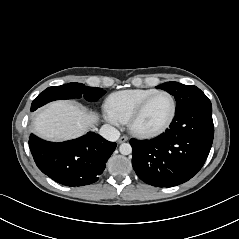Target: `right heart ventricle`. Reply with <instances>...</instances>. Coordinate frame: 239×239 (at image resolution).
Masks as SVG:
<instances>
[{
	"label": "right heart ventricle",
	"instance_id": "e07e8e85",
	"mask_svg": "<svg viewBox=\"0 0 239 239\" xmlns=\"http://www.w3.org/2000/svg\"><path fill=\"white\" fill-rule=\"evenodd\" d=\"M156 91V89H128L113 92L105 101L106 111L121 122H125L137 105Z\"/></svg>",
	"mask_w": 239,
	"mask_h": 239
}]
</instances>
